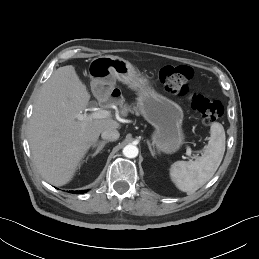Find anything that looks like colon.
Listing matches in <instances>:
<instances>
[{
    "label": "colon",
    "instance_id": "1",
    "mask_svg": "<svg viewBox=\"0 0 259 259\" xmlns=\"http://www.w3.org/2000/svg\"><path fill=\"white\" fill-rule=\"evenodd\" d=\"M193 70L189 66H164L159 71V80L165 90L177 96L187 97L193 110L198 112L203 123L209 125L218 120L223 114L220 101L200 94L189 92V83Z\"/></svg>",
    "mask_w": 259,
    "mask_h": 259
}]
</instances>
